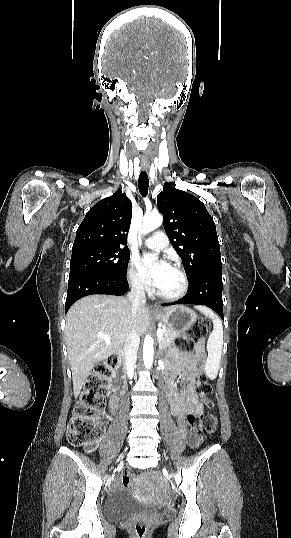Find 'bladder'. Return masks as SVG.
<instances>
[{
    "label": "bladder",
    "mask_w": 291,
    "mask_h": 538,
    "mask_svg": "<svg viewBox=\"0 0 291 538\" xmlns=\"http://www.w3.org/2000/svg\"><path fill=\"white\" fill-rule=\"evenodd\" d=\"M105 515L110 521L123 519L131 514L147 512L152 509L132 500L125 493L113 494L107 498L104 505Z\"/></svg>",
    "instance_id": "obj_1"
}]
</instances>
